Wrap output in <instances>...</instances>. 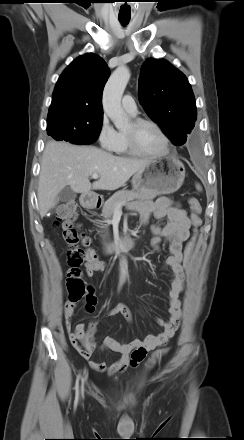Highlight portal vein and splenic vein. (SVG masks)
<instances>
[{
    "instance_id": "obj_1",
    "label": "portal vein and splenic vein",
    "mask_w": 244,
    "mask_h": 440,
    "mask_svg": "<svg viewBox=\"0 0 244 440\" xmlns=\"http://www.w3.org/2000/svg\"><path fill=\"white\" fill-rule=\"evenodd\" d=\"M92 178H93V179H98V178H99V175L96 174V173H95V174H92ZM125 203H126V202H125ZM125 203H123V204H118L117 207H116V211H121L122 206L125 205Z\"/></svg>"
}]
</instances>
